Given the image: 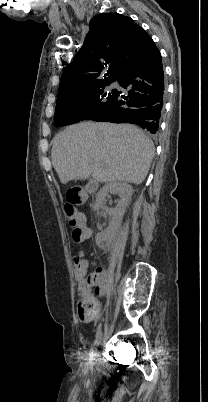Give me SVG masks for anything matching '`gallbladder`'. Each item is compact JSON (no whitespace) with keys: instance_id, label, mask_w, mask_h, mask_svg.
Segmentation results:
<instances>
[{"instance_id":"obj_1","label":"gallbladder","mask_w":208,"mask_h":402,"mask_svg":"<svg viewBox=\"0 0 208 402\" xmlns=\"http://www.w3.org/2000/svg\"><path fill=\"white\" fill-rule=\"evenodd\" d=\"M86 187L88 190H95L97 187V184L95 181H88L86 184Z\"/></svg>"}]
</instances>
